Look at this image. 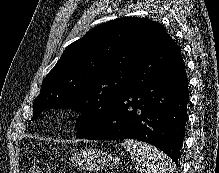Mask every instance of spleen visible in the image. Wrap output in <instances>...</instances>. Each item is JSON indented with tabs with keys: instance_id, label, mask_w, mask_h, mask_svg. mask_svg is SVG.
<instances>
[{
	"instance_id": "3e777b00",
	"label": "spleen",
	"mask_w": 219,
	"mask_h": 173,
	"mask_svg": "<svg viewBox=\"0 0 219 173\" xmlns=\"http://www.w3.org/2000/svg\"><path fill=\"white\" fill-rule=\"evenodd\" d=\"M123 145L136 163L138 173L175 172V165L157 148L133 139H126Z\"/></svg>"
}]
</instances>
